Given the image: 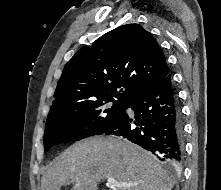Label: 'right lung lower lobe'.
<instances>
[{"label":"right lung lower lobe","mask_w":221,"mask_h":190,"mask_svg":"<svg viewBox=\"0 0 221 190\" xmlns=\"http://www.w3.org/2000/svg\"><path fill=\"white\" fill-rule=\"evenodd\" d=\"M131 108L134 116L126 109ZM138 144L168 166L178 168L183 159V124L170 74L130 96L120 121L106 131Z\"/></svg>","instance_id":"right-lung-lower-lobe-1"}]
</instances>
